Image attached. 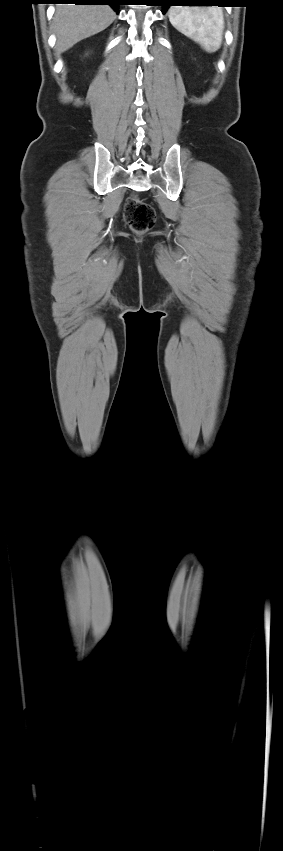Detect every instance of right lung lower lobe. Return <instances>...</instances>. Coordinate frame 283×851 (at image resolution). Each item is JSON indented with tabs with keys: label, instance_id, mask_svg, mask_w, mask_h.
<instances>
[{
	"label": "right lung lower lobe",
	"instance_id": "obj_1",
	"mask_svg": "<svg viewBox=\"0 0 283 851\" xmlns=\"http://www.w3.org/2000/svg\"><path fill=\"white\" fill-rule=\"evenodd\" d=\"M121 0H49V3H67L81 5H110L118 13V5Z\"/></svg>",
	"mask_w": 283,
	"mask_h": 851
}]
</instances>
